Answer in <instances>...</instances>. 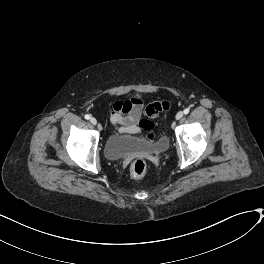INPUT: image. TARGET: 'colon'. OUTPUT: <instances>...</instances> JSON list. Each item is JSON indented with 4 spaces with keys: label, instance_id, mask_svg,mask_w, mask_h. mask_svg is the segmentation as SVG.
I'll use <instances>...</instances> for the list:
<instances>
[{
    "label": "colon",
    "instance_id": "obj_1",
    "mask_svg": "<svg viewBox=\"0 0 264 264\" xmlns=\"http://www.w3.org/2000/svg\"><path fill=\"white\" fill-rule=\"evenodd\" d=\"M169 108V103L167 101H154L147 105L145 113L147 116L144 122V128L146 132V137L155 138L154 131V119L158 117L161 113ZM147 170V164L144 160H135L131 165V176L135 179H139L144 176Z\"/></svg>",
    "mask_w": 264,
    "mask_h": 264
}]
</instances>
